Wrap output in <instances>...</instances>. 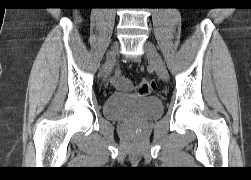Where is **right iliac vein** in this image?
<instances>
[{
  "mask_svg": "<svg viewBox=\"0 0 251 180\" xmlns=\"http://www.w3.org/2000/svg\"><path fill=\"white\" fill-rule=\"evenodd\" d=\"M117 49H118V44L117 42H114L107 56V61L105 64V69H104L105 78H107L110 75L114 67V64L116 62Z\"/></svg>",
  "mask_w": 251,
  "mask_h": 180,
  "instance_id": "1",
  "label": "right iliac vein"
}]
</instances>
